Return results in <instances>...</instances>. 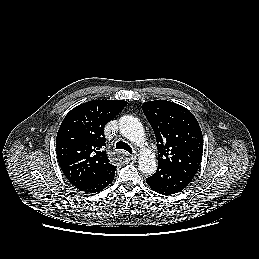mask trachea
I'll return each instance as SVG.
<instances>
[{"label":"trachea","instance_id":"trachea-1","mask_svg":"<svg viewBox=\"0 0 259 259\" xmlns=\"http://www.w3.org/2000/svg\"><path fill=\"white\" fill-rule=\"evenodd\" d=\"M116 149H123V150L129 152L130 154H132V148L130 147V145H128L127 143H125L123 141H118L116 143Z\"/></svg>","mask_w":259,"mask_h":259}]
</instances>
